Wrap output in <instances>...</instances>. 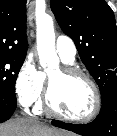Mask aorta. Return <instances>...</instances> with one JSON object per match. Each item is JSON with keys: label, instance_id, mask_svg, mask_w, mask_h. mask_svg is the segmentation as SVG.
<instances>
[{"label": "aorta", "instance_id": "obj_1", "mask_svg": "<svg viewBox=\"0 0 117 136\" xmlns=\"http://www.w3.org/2000/svg\"><path fill=\"white\" fill-rule=\"evenodd\" d=\"M37 51L39 54L40 65L51 70L58 67V59L55 51V33L53 19L45 14L37 17Z\"/></svg>", "mask_w": 117, "mask_h": 136}]
</instances>
